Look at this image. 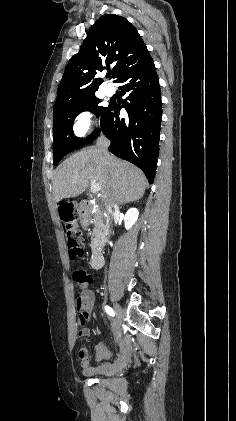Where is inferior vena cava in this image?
<instances>
[{
    "label": "inferior vena cava",
    "instance_id": "602c4592",
    "mask_svg": "<svg viewBox=\"0 0 236 421\" xmlns=\"http://www.w3.org/2000/svg\"><path fill=\"white\" fill-rule=\"evenodd\" d=\"M110 144V140H108V138H106V136H104V134H101V136H98L97 138V148H99V150H101L105 160H107V158H109L110 154L108 152V146ZM118 208V204L117 202H115V200H113V204H110V208H109V225H111L112 223V219H111V215L113 213V211H117Z\"/></svg>",
    "mask_w": 236,
    "mask_h": 421
}]
</instances>
